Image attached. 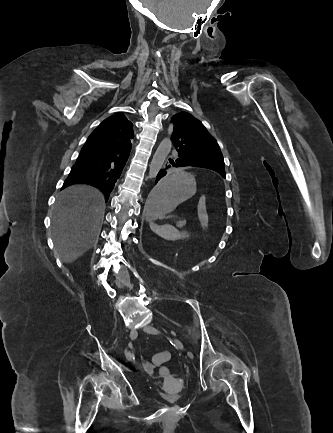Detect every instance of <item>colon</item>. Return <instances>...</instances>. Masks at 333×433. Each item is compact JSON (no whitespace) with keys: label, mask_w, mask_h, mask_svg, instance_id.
<instances>
[{"label":"colon","mask_w":333,"mask_h":433,"mask_svg":"<svg viewBox=\"0 0 333 433\" xmlns=\"http://www.w3.org/2000/svg\"><path fill=\"white\" fill-rule=\"evenodd\" d=\"M199 221L203 227L206 226L205 198H201L200 200ZM169 360L170 353L163 351L152 356L150 366L157 367L160 366L162 362H168Z\"/></svg>","instance_id":"5ec220e1"}]
</instances>
